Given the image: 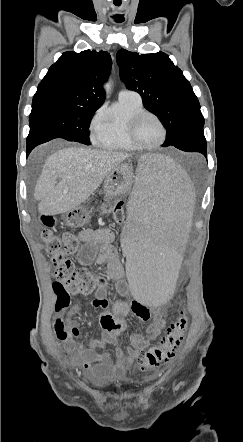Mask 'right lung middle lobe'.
Wrapping results in <instances>:
<instances>
[{
    "label": "right lung middle lobe",
    "mask_w": 243,
    "mask_h": 442,
    "mask_svg": "<svg viewBox=\"0 0 243 442\" xmlns=\"http://www.w3.org/2000/svg\"><path fill=\"white\" fill-rule=\"evenodd\" d=\"M97 108L74 105L61 97L33 98L30 129L43 128L62 138L90 145L89 125Z\"/></svg>",
    "instance_id": "obj_1"
}]
</instances>
